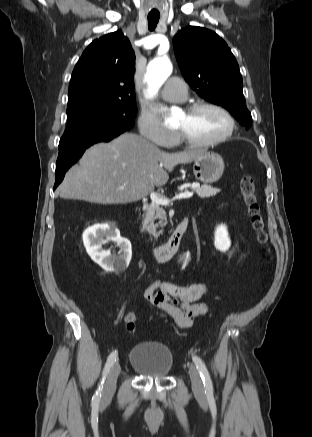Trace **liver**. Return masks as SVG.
<instances>
[{
    "label": "liver",
    "mask_w": 312,
    "mask_h": 437,
    "mask_svg": "<svg viewBox=\"0 0 312 437\" xmlns=\"http://www.w3.org/2000/svg\"><path fill=\"white\" fill-rule=\"evenodd\" d=\"M204 150L169 153L133 133L88 148L58 188L61 198L97 204L136 202L165 185L167 173ZM120 187H124L120 189Z\"/></svg>",
    "instance_id": "liver-1"
}]
</instances>
